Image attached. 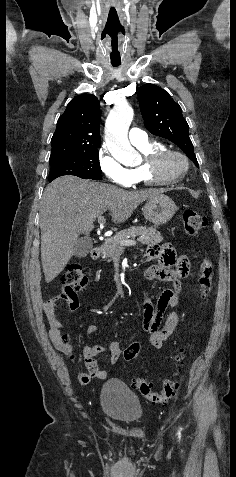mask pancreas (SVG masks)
<instances>
[{
    "label": "pancreas",
    "instance_id": "pancreas-1",
    "mask_svg": "<svg viewBox=\"0 0 236 477\" xmlns=\"http://www.w3.org/2000/svg\"><path fill=\"white\" fill-rule=\"evenodd\" d=\"M142 244H158L162 241L161 234L155 228L146 226H131L128 229L116 233L113 237L106 239L103 245V258H112L121 253L122 247L119 242L136 238Z\"/></svg>",
    "mask_w": 236,
    "mask_h": 477
}]
</instances>
